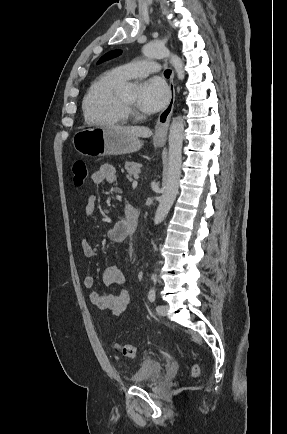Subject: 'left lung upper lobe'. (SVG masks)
Listing matches in <instances>:
<instances>
[{"instance_id": "left-lung-upper-lobe-1", "label": "left lung upper lobe", "mask_w": 287, "mask_h": 434, "mask_svg": "<svg viewBox=\"0 0 287 434\" xmlns=\"http://www.w3.org/2000/svg\"><path fill=\"white\" fill-rule=\"evenodd\" d=\"M120 54H121V51H120V50L110 51V52L106 53L104 56H102V57L100 58V60L98 61V63H101V62H103V61H106V60H108V59H111V58H113V57H116V56H118V55H120Z\"/></svg>"}]
</instances>
